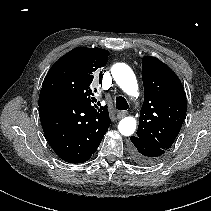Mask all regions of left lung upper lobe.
Here are the masks:
<instances>
[{"instance_id": "5c2ea615", "label": "left lung upper lobe", "mask_w": 211, "mask_h": 211, "mask_svg": "<svg viewBox=\"0 0 211 211\" xmlns=\"http://www.w3.org/2000/svg\"><path fill=\"white\" fill-rule=\"evenodd\" d=\"M142 79L144 103L136 136L166 151L172 146L186 115L184 87L166 64L151 56L143 57Z\"/></svg>"}]
</instances>
